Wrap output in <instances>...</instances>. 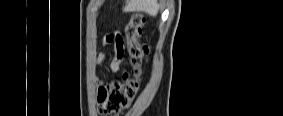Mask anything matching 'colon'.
Here are the masks:
<instances>
[{"label": "colon", "instance_id": "obj_1", "mask_svg": "<svg viewBox=\"0 0 283 116\" xmlns=\"http://www.w3.org/2000/svg\"><path fill=\"white\" fill-rule=\"evenodd\" d=\"M143 23V15L137 12L130 16L124 26L126 39L124 49L130 61L131 73L125 75L121 81H114L99 87L97 102L98 111L102 115H112L127 108L137 93L139 77L146 57V49L138 39ZM119 38L123 45L120 35Z\"/></svg>", "mask_w": 283, "mask_h": 116}]
</instances>
